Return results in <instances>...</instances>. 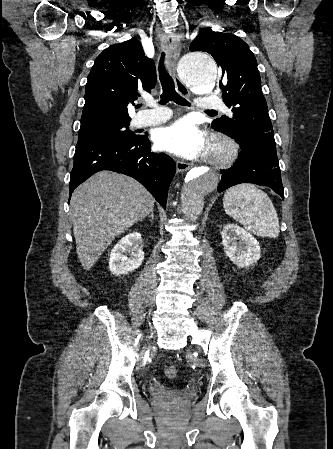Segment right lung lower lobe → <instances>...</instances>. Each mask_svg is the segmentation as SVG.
Wrapping results in <instances>:
<instances>
[{
  "mask_svg": "<svg viewBox=\"0 0 333 449\" xmlns=\"http://www.w3.org/2000/svg\"><path fill=\"white\" fill-rule=\"evenodd\" d=\"M101 170H111L135 178L166 208L168 187L176 171L175 162L168 155L151 152L147 135H141L134 141H79L69 183L70 196L79 184Z\"/></svg>",
  "mask_w": 333,
  "mask_h": 449,
  "instance_id": "obj_1",
  "label": "right lung lower lobe"
}]
</instances>
